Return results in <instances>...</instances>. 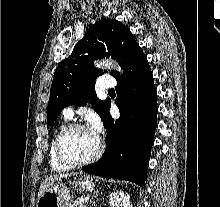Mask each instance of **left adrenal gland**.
Wrapping results in <instances>:
<instances>
[{
	"label": "left adrenal gland",
	"instance_id": "obj_1",
	"mask_svg": "<svg viewBox=\"0 0 220 207\" xmlns=\"http://www.w3.org/2000/svg\"><path fill=\"white\" fill-rule=\"evenodd\" d=\"M99 194V191H95L94 192V195H93V198H92V205L94 204V198H96Z\"/></svg>",
	"mask_w": 220,
	"mask_h": 207
}]
</instances>
